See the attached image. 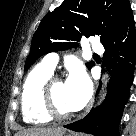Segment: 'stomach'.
<instances>
[{"label": "stomach", "mask_w": 136, "mask_h": 136, "mask_svg": "<svg viewBox=\"0 0 136 136\" xmlns=\"http://www.w3.org/2000/svg\"><path fill=\"white\" fill-rule=\"evenodd\" d=\"M64 134H65V132H62V133L56 134L54 136H70V135H64Z\"/></svg>", "instance_id": "obj_1"}]
</instances>
